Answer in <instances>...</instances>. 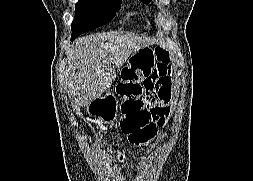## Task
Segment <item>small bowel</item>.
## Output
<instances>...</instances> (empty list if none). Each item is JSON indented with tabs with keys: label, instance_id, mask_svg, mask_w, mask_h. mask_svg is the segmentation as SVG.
<instances>
[{
	"label": "small bowel",
	"instance_id": "obj_1",
	"mask_svg": "<svg viewBox=\"0 0 253 181\" xmlns=\"http://www.w3.org/2000/svg\"><path fill=\"white\" fill-rule=\"evenodd\" d=\"M172 72L164 64L150 60L147 72L144 75L143 86L149 96H158L163 108V115L170 113L172 98Z\"/></svg>",
	"mask_w": 253,
	"mask_h": 181
}]
</instances>
